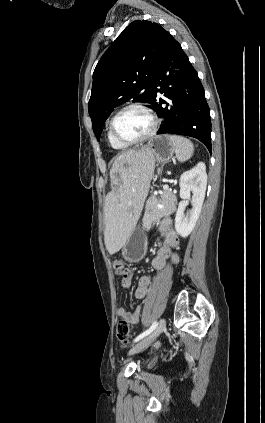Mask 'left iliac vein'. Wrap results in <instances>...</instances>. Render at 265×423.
Returning <instances> with one entry per match:
<instances>
[{"instance_id": "4c4485c4", "label": "left iliac vein", "mask_w": 265, "mask_h": 423, "mask_svg": "<svg viewBox=\"0 0 265 423\" xmlns=\"http://www.w3.org/2000/svg\"><path fill=\"white\" fill-rule=\"evenodd\" d=\"M166 327V321L164 318H162L157 327L147 336L145 337L143 340H141L140 342H138L136 345H134L131 350L129 351V355H133L136 354L138 352H140L142 349H144L145 347H147L153 340H155L165 329Z\"/></svg>"}]
</instances>
